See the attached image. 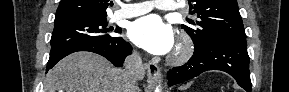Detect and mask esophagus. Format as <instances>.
Masks as SVG:
<instances>
[{"instance_id": "esophagus-1", "label": "esophagus", "mask_w": 289, "mask_h": 92, "mask_svg": "<svg viewBox=\"0 0 289 92\" xmlns=\"http://www.w3.org/2000/svg\"><path fill=\"white\" fill-rule=\"evenodd\" d=\"M145 67L147 69L148 85L154 87L161 79V69L153 62L146 63Z\"/></svg>"}]
</instances>
